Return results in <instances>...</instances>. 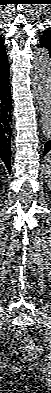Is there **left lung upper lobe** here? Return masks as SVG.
<instances>
[{
  "label": "left lung upper lobe",
  "mask_w": 51,
  "mask_h": 393,
  "mask_svg": "<svg viewBox=\"0 0 51 393\" xmlns=\"http://www.w3.org/2000/svg\"><path fill=\"white\" fill-rule=\"evenodd\" d=\"M40 45L48 49L51 58V29H47L43 32L40 37Z\"/></svg>",
  "instance_id": "obj_1"
}]
</instances>
